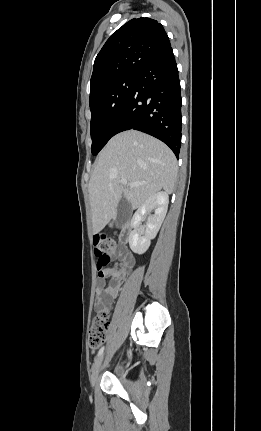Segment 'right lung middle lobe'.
<instances>
[{
  "mask_svg": "<svg viewBox=\"0 0 261 431\" xmlns=\"http://www.w3.org/2000/svg\"><path fill=\"white\" fill-rule=\"evenodd\" d=\"M137 75L121 77L90 92L91 152L97 155L113 136L114 126L131 95Z\"/></svg>",
  "mask_w": 261,
  "mask_h": 431,
  "instance_id": "obj_1",
  "label": "right lung middle lobe"
}]
</instances>
